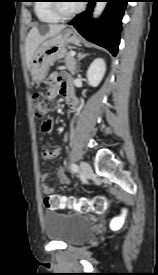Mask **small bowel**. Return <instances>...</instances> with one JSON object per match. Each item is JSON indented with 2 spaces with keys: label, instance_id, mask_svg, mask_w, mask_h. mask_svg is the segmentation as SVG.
Listing matches in <instances>:
<instances>
[{
  "label": "small bowel",
  "instance_id": "obj_1",
  "mask_svg": "<svg viewBox=\"0 0 158 275\" xmlns=\"http://www.w3.org/2000/svg\"><path fill=\"white\" fill-rule=\"evenodd\" d=\"M52 85L48 89V96L50 98H55L57 95H62L67 98L69 104L71 106H75L77 104L76 99L73 96L71 82L68 76L55 72L51 76ZM53 120L47 119L41 125V130L43 133H50L53 129ZM68 139V134L64 136V140ZM61 154L60 147L54 148H45L42 150L43 159H54L59 157ZM57 178L61 184L67 185L70 180L65 174V171L62 167H59L56 172ZM48 174L44 173L40 176L41 184H42V192L45 195H52L55 193L56 189L53 186L47 184Z\"/></svg>",
  "mask_w": 158,
  "mask_h": 275
}]
</instances>
